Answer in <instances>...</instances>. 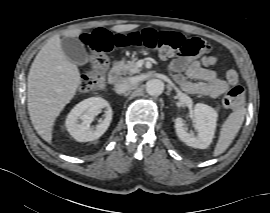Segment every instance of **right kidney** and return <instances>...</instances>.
<instances>
[{"label":"right kidney","instance_id":"ca27d5eb","mask_svg":"<svg viewBox=\"0 0 270 213\" xmlns=\"http://www.w3.org/2000/svg\"><path fill=\"white\" fill-rule=\"evenodd\" d=\"M102 108H107L105 117L96 127H91L94 117ZM112 120V109L101 97H91L78 103L68 114L65 126L70 135L78 142L93 141L101 137ZM81 121V122H80Z\"/></svg>","mask_w":270,"mask_h":213}]
</instances>
